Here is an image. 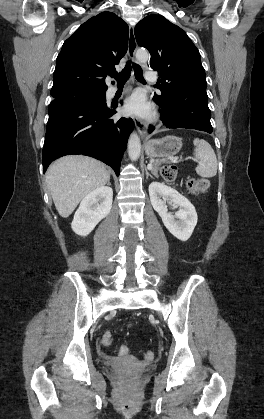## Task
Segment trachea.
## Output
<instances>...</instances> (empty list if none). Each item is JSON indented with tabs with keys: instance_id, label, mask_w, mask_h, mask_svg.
I'll return each instance as SVG.
<instances>
[{
	"instance_id": "trachea-1",
	"label": "trachea",
	"mask_w": 264,
	"mask_h": 419,
	"mask_svg": "<svg viewBox=\"0 0 264 419\" xmlns=\"http://www.w3.org/2000/svg\"><path fill=\"white\" fill-rule=\"evenodd\" d=\"M133 68H134L136 79L142 83H145V80L143 78L142 68L137 64H134ZM130 72H131V62L128 61L124 69L121 71V73H114L112 74V77L116 79L119 85H122L129 79Z\"/></svg>"
}]
</instances>
